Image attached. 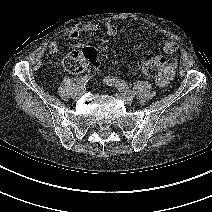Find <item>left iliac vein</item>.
Returning <instances> with one entry per match:
<instances>
[{
  "label": "left iliac vein",
  "instance_id": "1",
  "mask_svg": "<svg viewBox=\"0 0 212 212\" xmlns=\"http://www.w3.org/2000/svg\"><path fill=\"white\" fill-rule=\"evenodd\" d=\"M116 97L127 105H131L133 103V96L131 95L125 93H116Z\"/></svg>",
  "mask_w": 212,
  "mask_h": 212
}]
</instances>
